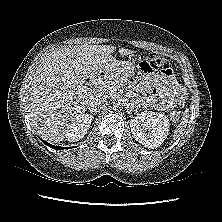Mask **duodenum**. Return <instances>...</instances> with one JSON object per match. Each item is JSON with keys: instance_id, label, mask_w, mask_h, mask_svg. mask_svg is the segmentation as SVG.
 <instances>
[{"instance_id": "1", "label": "duodenum", "mask_w": 222, "mask_h": 222, "mask_svg": "<svg viewBox=\"0 0 222 222\" xmlns=\"http://www.w3.org/2000/svg\"><path fill=\"white\" fill-rule=\"evenodd\" d=\"M106 75V72L104 70L97 71L93 77H92V83L97 84L99 83Z\"/></svg>"}]
</instances>
